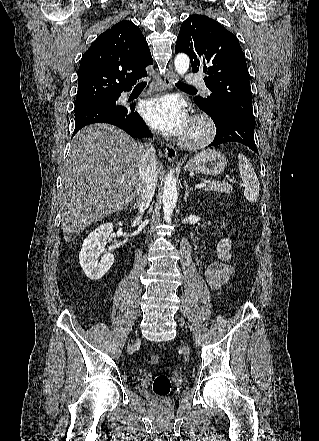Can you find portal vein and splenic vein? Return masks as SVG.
<instances>
[{
  "label": "portal vein and splenic vein",
  "mask_w": 319,
  "mask_h": 441,
  "mask_svg": "<svg viewBox=\"0 0 319 441\" xmlns=\"http://www.w3.org/2000/svg\"><path fill=\"white\" fill-rule=\"evenodd\" d=\"M119 182H120V183H123V182H124V179H123V178H120V179H119ZM204 186H206L205 183H200V184H197V185L195 186V188H197V189H201V188H203Z\"/></svg>",
  "instance_id": "obj_1"
}]
</instances>
